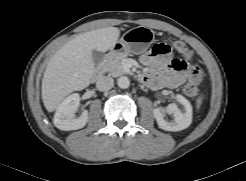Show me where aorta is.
I'll return each mask as SVG.
<instances>
[{"label":"aorta","mask_w":246,"mask_h":181,"mask_svg":"<svg viewBox=\"0 0 246 181\" xmlns=\"http://www.w3.org/2000/svg\"><path fill=\"white\" fill-rule=\"evenodd\" d=\"M117 85L122 89H126L130 86V80L128 77L122 76L117 79Z\"/></svg>","instance_id":"aorta-1"}]
</instances>
